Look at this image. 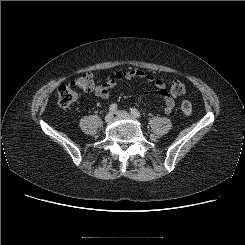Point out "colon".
I'll use <instances>...</instances> for the list:
<instances>
[{
  "label": "colon",
  "instance_id": "1",
  "mask_svg": "<svg viewBox=\"0 0 245 245\" xmlns=\"http://www.w3.org/2000/svg\"><path fill=\"white\" fill-rule=\"evenodd\" d=\"M75 88L86 92H94L97 89L94 77L91 73H83L68 84L61 85L57 91V101L61 107L72 105L78 98ZM186 85L181 81H173L170 86V94L174 97L182 96L186 93ZM181 111L186 116L191 115L193 107L189 101L181 103Z\"/></svg>",
  "mask_w": 245,
  "mask_h": 245
}]
</instances>
